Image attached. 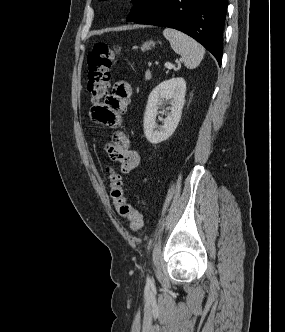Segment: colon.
Wrapping results in <instances>:
<instances>
[{"mask_svg":"<svg viewBox=\"0 0 285 332\" xmlns=\"http://www.w3.org/2000/svg\"><path fill=\"white\" fill-rule=\"evenodd\" d=\"M120 50L106 43H96L87 57L88 84L90 99L98 104L107 94L110 83V69ZM110 182V197L118 214L128 221L132 232H138L143 225L142 214L128 201L124 193L121 175L112 166L107 167Z\"/></svg>","mask_w":285,"mask_h":332,"instance_id":"5ec220e1","label":"colon"}]
</instances>
